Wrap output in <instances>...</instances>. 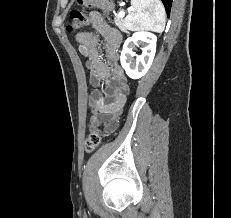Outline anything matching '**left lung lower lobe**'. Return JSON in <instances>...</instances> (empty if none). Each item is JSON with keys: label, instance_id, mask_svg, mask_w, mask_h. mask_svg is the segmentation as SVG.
Returning a JSON list of instances; mask_svg holds the SVG:
<instances>
[{"label": "left lung lower lobe", "instance_id": "1", "mask_svg": "<svg viewBox=\"0 0 231 218\" xmlns=\"http://www.w3.org/2000/svg\"><path fill=\"white\" fill-rule=\"evenodd\" d=\"M162 2L164 4V6H165L167 15L169 16L170 15L171 5H172V0H162Z\"/></svg>", "mask_w": 231, "mask_h": 218}]
</instances>
